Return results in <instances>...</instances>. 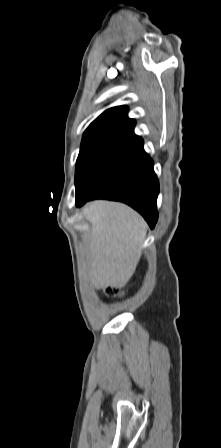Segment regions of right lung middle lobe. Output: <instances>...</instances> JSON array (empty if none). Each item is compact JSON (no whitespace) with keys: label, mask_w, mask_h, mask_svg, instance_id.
<instances>
[{"label":"right lung middle lobe","mask_w":221,"mask_h":448,"mask_svg":"<svg viewBox=\"0 0 221 448\" xmlns=\"http://www.w3.org/2000/svg\"><path fill=\"white\" fill-rule=\"evenodd\" d=\"M112 149L114 148L107 146H93L80 149L75 170L76 195L94 169Z\"/></svg>","instance_id":"right-lung-middle-lobe-1"}]
</instances>
